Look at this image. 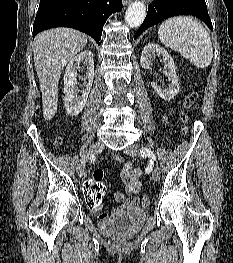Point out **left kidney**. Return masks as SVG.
Instances as JSON below:
<instances>
[{"instance_id": "obj_1", "label": "left kidney", "mask_w": 233, "mask_h": 263, "mask_svg": "<svg viewBox=\"0 0 233 263\" xmlns=\"http://www.w3.org/2000/svg\"><path fill=\"white\" fill-rule=\"evenodd\" d=\"M156 56H162L164 60V73L171 82L168 88L152 82L151 85L154 91L164 100L169 101L176 96L180 90V83L176 74V67L171 55L162 47L155 43H149L142 51L140 64L144 69H150L152 61Z\"/></svg>"}]
</instances>
